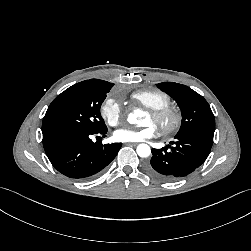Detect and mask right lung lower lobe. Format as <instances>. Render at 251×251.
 Wrapping results in <instances>:
<instances>
[{
  "label": "right lung lower lobe",
  "instance_id": "98d812e1",
  "mask_svg": "<svg viewBox=\"0 0 251 251\" xmlns=\"http://www.w3.org/2000/svg\"><path fill=\"white\" fill-rule=\"evenodd\" d=\"M107 128L99 132L51 129L43 132V146L52 165L63 175L85 180L104 169L117 155L121 143L101 145L91 135L105 137Z\"/></svg>",
  "mask_w": 251,
  "mask_h": 251
}]
</instances>
